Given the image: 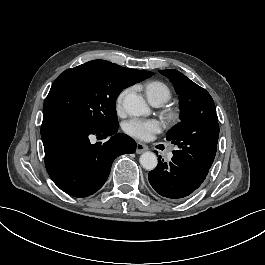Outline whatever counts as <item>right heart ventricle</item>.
Listing matches in <instances>:
<instances>
[{
	"label": "right heart ventricle",
	"mask_w": 265,
	"mask_h": 265,
	"mask_svg": "<svg viewBox=\"0 0 265 265\" xmlns=\"http://www.w3.org/2000/svg\"><path fill=\"white\" fill-rule=\"evenodd\" d=\"M137 88L140 89L148 101L154 105H161L172 96L170 87L165 82L158 79L146 80L138 84Z\"/></svg>",
	"instance_id": "e07e8e85"
}]
</instances>
